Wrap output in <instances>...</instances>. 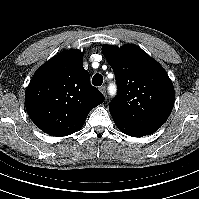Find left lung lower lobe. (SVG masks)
I'll return each instance as SVG.
<instances>
[{
  "label": "left lung lower lobe",
  "instance_id": "0a47b994",
  "mask_svg": "<svg viewBox=\"0 0 199 199\" xmlns=\"http://www.w3.org/2000/svg\"><path fill=\"white\" fill-rule=\"evenodd\" d=\"M114 122H115L116 126L118 127V129L121 132H123V133H125V134H127L129 136H132V137H142V136L146 135V134H144V133H142V132H140L138 130L132 129L129 126L124 125V124H122L120 122H116V121H114Z\"/></svg>",
  "mask_w": 199,
  "mask_h": 199
}]
</instances>
